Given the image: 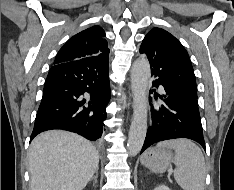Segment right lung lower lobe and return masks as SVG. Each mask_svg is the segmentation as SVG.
Masks as SVG:
<instances>
[{
    "instance_id": "right-lung-lower-lobe-1",
    "label": "right lung lower lobe",
    "mask_w": 234,
    "mask_h": 190,
    "mask_svg": "<svg viewBox=\"0 0 234 190\" xmlns=\"http://www.w3.org/2000/svg\"><path fill=\"white\" fill-rule=\"evenodd\" d=\"M108 56H92L51 67L30 141L62 129L96 141L103 132L110 100Z\"/></svg>"
}]
</instances>
